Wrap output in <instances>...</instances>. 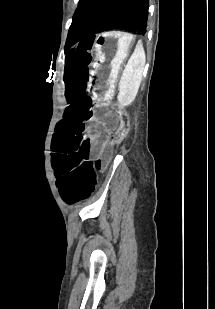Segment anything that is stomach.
<instances>
[{"label": "stomach", "mask_w": 215, "mask_h": 309, "mask_svg": "<svg viewBox=\"0 0 215 309\" xmlns=\"http://www.w3.org/2000/svg\"><path fill=\"white\" fill-rule=\"evenodd\" d=\"M134 44L135 36L120 30L103 32L96 37L95 58L88 82L95 99L103 101L111 97L120 67Z\"/></svg>", "instance_id": "stomach-1"}]
</instances>
